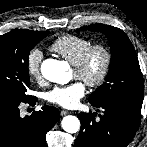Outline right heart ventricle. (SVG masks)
<instances>
[{
    "instance_id": "right-heart-ventricle-1",
    "label": "right heart ventricle",
    "mask_w": 147,
    "mask_h": 147,
    "mask_svg": "<svg viewBox=\"0 0 147 147\" xmlns=\"http://www.w3.org/2000/svg\"><path fill=\"white\" fill-rule=\"evenodd\" d=\"M92 44L89 38L69 34L57 38L50 49L74 65Z\"/></svg>"
}]
</instances>
